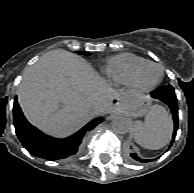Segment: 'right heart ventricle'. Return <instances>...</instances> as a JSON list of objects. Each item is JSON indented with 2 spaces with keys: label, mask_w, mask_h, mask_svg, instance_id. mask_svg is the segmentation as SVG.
<instances>
[{
  "label": "right heart ventricle",
  "mask_w": 194,
  "mask_h": 193,
  "mask_svg": "<svg viewBox=\"0 0 194 193\" xmlns=\"http://www.w3.org/2000/svg\"><path fill=\"white\" fill-rule=\"evenodd\" d=\"M148 60L131 53L109 57L101 68L105 78L119 85H132L136 68Z\"/></svg>",
  "instance_id": "e07e8e85"
}]
</instances>
